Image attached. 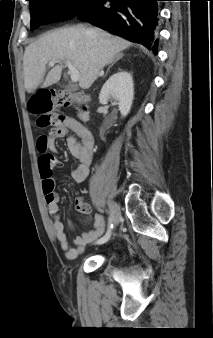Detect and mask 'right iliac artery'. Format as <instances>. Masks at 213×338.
I'll use <instances>...</instances> for the list:
<instances>
[{
    "mask_svg": "<svg viewBox=\"0 0 213 338\" xmlns=\"http://www.w3.org/2000/svg\"><path fill=\"white\" fill-rule=\"evenodd\" d=\"M112 228H113L112 220L109 217L108 218V230H107L106 234L102 238H100L99 240L96 241V244H103L106 241H108L109 238H110V235H111Z\"/></svg>",
    "mask_w": 213,
    "mask_h": 338,
    "instance_id": "right-iliac-artery-1",
    "label": "right iliac artery"
}]
</instances>
